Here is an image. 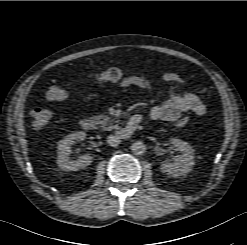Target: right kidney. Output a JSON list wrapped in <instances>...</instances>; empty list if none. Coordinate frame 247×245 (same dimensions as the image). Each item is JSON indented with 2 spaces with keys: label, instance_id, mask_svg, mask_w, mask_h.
<instances>
[{
  "label": "right kidney",
  "instance_id": "obj_1",
  "mask_svg": "<svg viewBox=\"0 0 247 245\" xmlns=\"http://www.w3.org/2000/svg\"><path fill=\"white\" fill-rule=\"evenodd\" d=\"M85 138L86 133L80 131L67 135L59 142V145L57 147V164L61 170L75 171L78 169H84L91 164L93 157L89 154H85L77 160H73L69 157V155L71 154L70 146L74 144L76 140L83 141Z\"/></svg>",
  "mask_w": 247,
  "mask_h": 245
}]
</instances>
